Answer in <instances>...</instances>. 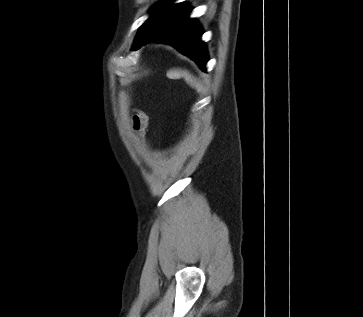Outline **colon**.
<instances>
[{"label": "colon", "mask_w": 363, "mask_h": 317, "mask_svg": "<svg viewBox=\"0 0 363 317\" xmlns=\"http://www.w3.org/2000/svg\"><path fill=\"white\" fill-rule=\"evenodd\" d=\"M132 125L134 131L139 134L143 135L145 133L146 127H147V116L146 114L141 111L137 110L132 118Z\"/></svg>", "instance_id": "colon-1"}]
</instances>
